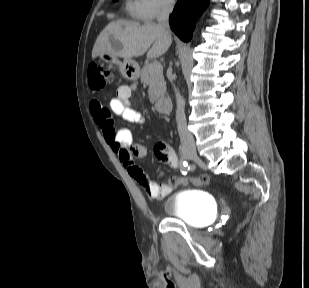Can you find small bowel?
<instances>
[{"label":"small bowel","instance_id":"1","mask_svg":"<svg viewBox=\"0 0 309 288\" xmlns=\"http://www.w3.org/2000/svg\"><path fill=\"white\" fill-rule=\"evenodd\" d=\"M135 85H121L118 87L115 97L110 101L109 108L101 102L91 101L90 110L95 122L102 132L104 141L117 154L123 167L129 176L135 180L145 191L146 195L153 200H161L169 195L174 189L169 183H158L151 181L143 171L134 163V157H143L146 147L140 144H132L131 132L127 129H116L111 112L121 116L129 123H143L145 116L139 110L130 106V98L136 91ZM155 154L161 161L171 167H177L178 157L166 143L156 146Z\"/></svg>","mask_w":309,"mask_h":288}]
</instances>
